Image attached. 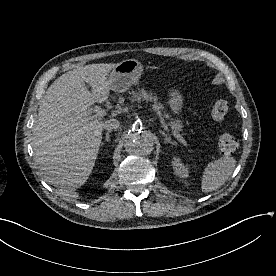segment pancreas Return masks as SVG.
Wrapping results in <instances>:
<instances>
[{
	"mask_svg": "<svg viewBox=\"0 0 276 276\" xmlns=\"http://www.w3.org/2000/svg\"><path fill=\"white\" fill-rule=\"evenodd\" d=\"M130 94L131 97L129 99L132 102H152V108L157 113H160L164 109V106L160 102H158L157 95L153 93H148L144 88L132 91L130 92ZM170 126L174 128L176 131H180L182 129V123L179 120L170 122Z\"/></svg>",
	"mask_w": 276,
	"mask_h": 276,
	"instance_id": "cf45deb5",
	"label": "pancreas"
}]
</instances>
